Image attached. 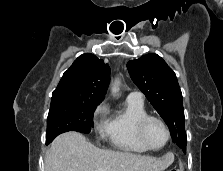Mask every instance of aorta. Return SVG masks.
Here are the masks:
<instances>
[{"mask_svg": "<svg viewBox=\"0 0 223 171\" xmlns=\"http://www.w3.org/2000/svg\"><path fill=\"white\" fill-rule=\"evenodd\" d=\"M119 84H120L119 79H115L114 82L112 83L111 91L113 94L119 92Z\"/></svg>", "mask_w": 223, "mask_h": 171, "instance_id": "762f6f07", "label": "aorta"}]
</instances>
